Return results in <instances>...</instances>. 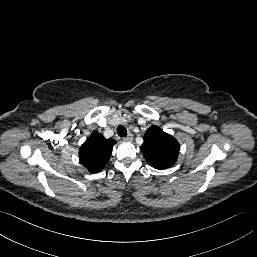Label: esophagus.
<instances>
[{
    "mask_svg": "<svg viewBox=\"0 0 257 257\" xmlns=\"http://www.w3.org/2000/svg\"><path fill=\"white\" fill-rule=\"evenodd\" d=\"M125 141H132L133 140V135L129 134L127 137L123 138Z\"/></svg>",
    "mask_w": 257,
    "mask_h": 257,
    "instance_id": "esophagus-1",
    "label": "esophagus"
}]
</instances>
